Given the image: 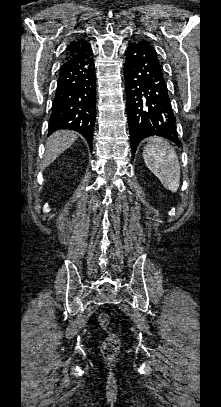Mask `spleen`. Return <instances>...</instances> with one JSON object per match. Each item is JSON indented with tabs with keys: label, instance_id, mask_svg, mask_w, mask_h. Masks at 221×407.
Here are the masks:
<instances>
[{
	"label": "spleen",
	"instance_id": "1",
	"mask_svg": "<svg viewBox=\"0 0 221 407\" xmlns=\"http://www.w3.org/2000/svg\"><path fill=\"white\" fill-rule=\"evenodd\" d=\"M143 158L148 169L163 186L176 192L180 184V164L176 151L163 138H152L144 147Z\"/></svg>",
	"mask_w": 221,
	"mask_h": 407
}]
</instances>
